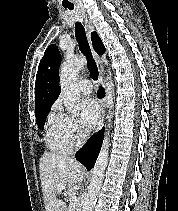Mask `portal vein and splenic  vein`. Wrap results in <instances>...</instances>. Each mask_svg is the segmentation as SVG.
<instances>
[{
    "instance_id": "18ae733b",
    "label": "portal vein and splenic vein",
    "mask_w": 178,
    "mask_h": 211,
    "mask_svg": "<svg viewBox=\"0 0 178 211\" xmlns=\"http://www.w3.org/2000/svg\"><path fill=\"white\" fill-rule=\"evenodd\" d=\"M65 188L66 187H65L64 184H58L57 185V189H58L59 192H61L62 190H65ZM70 204L74 208L78 206V198L75 195H73V196L70 197Z\"/></svg>"
}]
</instances>
